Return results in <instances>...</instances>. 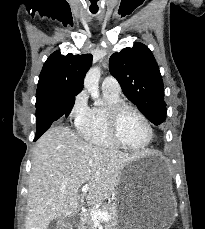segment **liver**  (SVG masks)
<instances>
[{
    "label": "liver",
    "instance_id": "1",
    "mask_svg": "<svg viewBox=\"0 0 205 229\" xmlns=\"http://www.w3.org/2000/svg\"><path fill=\"white\" fill-rule=\"evenodd\" d=\"M137 158L93 146L68 127H51L34 147L25 229H47L52 220L77 214L85 183L91 202L114 195L123 168Z\"/></svg>",
    "mask_w": 205,
    "mask_h": 229
}]
</instances>
